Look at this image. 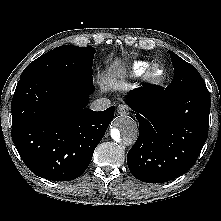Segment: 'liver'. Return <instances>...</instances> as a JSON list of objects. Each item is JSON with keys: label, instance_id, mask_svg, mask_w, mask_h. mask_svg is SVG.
I'll list each match as a JSON object with an SVG mask.
<instances>
[{"label": "liver", "instance_id": "liver-1", "mask_svg": "<svg viewBox=\"0 0 221 221\" xmlns=\"http://www.w3.org/2000/svg\"><path fill=\"white\" fill-rule=\"evenodd\" d=\"M126 70L119 61H115L109 69V74L103 81L105 89L110 91H126L131 85L124 82Z\"/></svg>", "mask_w": 221, "mask_h": 221}]
</instances>
